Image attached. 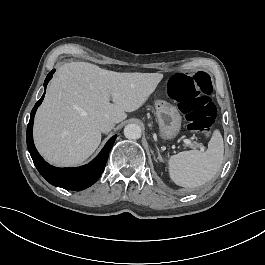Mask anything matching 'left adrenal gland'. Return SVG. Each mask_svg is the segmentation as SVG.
<instances>
[{"instance_id":"left-adrenal-gland-1","label":"left adrenal gland","mask_w":265,"mask_h":265,"mask_svg":"<svg viewBox=\"0 0 265 265\" xmlns=\"http://www.w3.org/2000/svg\"><path fill=\"white\" fill-rule=\"evenodd\" d=\"M156 149H157V152H158V159L162 160V157H161V154H160V150H159L157 145H156Z\"/></svg>"}]
</instances>
